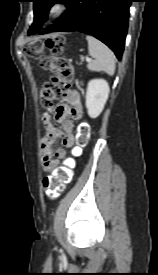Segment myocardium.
<instances>
[{
  "label": "myocardium",
  "instance_id": "obj_1",
  "mask_svg": "<svg viewBox=\"0 0 158 275\" xmlns=\"http://www.w3.org/2000/svg\"><path fill=\"white\" fill-rule=\"evenodd\" d=\"M67 11V5L63 1H55L47 8V15L50 18H57Z\"/></svg>",
  "mask_w": 158,
  "mask_h": 275
}]
</instances>
